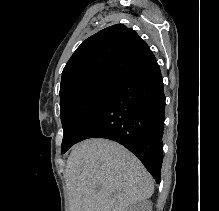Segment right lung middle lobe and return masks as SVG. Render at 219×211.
<instances>
[{
  "label": "right lung middle lobe",
  "mask_w": 219,
  "mask_h": 211,
  "mask_svg": "<svg viewBox=\"0 0 219 211\" xmlns=\"http://www.w3.org/2000/svg\"><path fill=\"white\" fill-rule=\"evenodd\" d=\"M116 85L97 84L60 101L64 131L61 153H65L98 112Z\"/></svg>",
  "instance_id": "dd1d6c3e"
}]
</instances>
